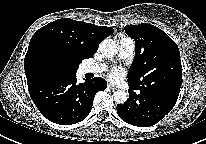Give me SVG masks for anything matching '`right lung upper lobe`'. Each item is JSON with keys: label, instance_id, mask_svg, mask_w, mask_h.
<instances>
[{"label": "right lung upper lobe", "instance_id": "right-lung-upper-lobe-1", "mask_svg": "<svg viewBox=\"0 0 206 144\" xmlns=\"http://www.w3.org/2000/svg\"><path fill=\"white\" fill-rule=\"evenodd\" d=\"M113 32L111 27L96 26L70 18L58 19L43 26L31 38L25 56L27 80L37 76L30 66L37 53L55 52L82 61L93 57L102 39Z\"/></svg>", "mask_w": 206, "mask_h": 144}]
</instances>
